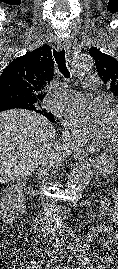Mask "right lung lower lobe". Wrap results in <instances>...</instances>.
<instances>
[{"instance_id":"right-lung-lower-lobe-1","label":"right lung lower lobe","mask_w":118,"mask_h":269,"mask_svg":"<svg viewBox=\"0 0 118 269\" xmlns=\"http://www.w3.org/2000/svg\"><path fill=\"white\" fill-rule=\"evenodd\" d=\"M13 108H22V109L31 110V108L24 105H20V104H5V105H0V112L4 110H8V109H13Z\"/></svg>"}]
</instances>
